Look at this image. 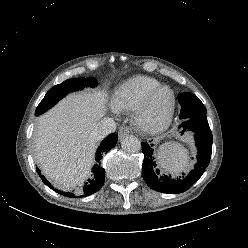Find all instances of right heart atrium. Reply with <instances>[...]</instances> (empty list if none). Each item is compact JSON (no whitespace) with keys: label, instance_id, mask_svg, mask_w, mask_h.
Returning <instances> with one entry per match:
<instances>
[{"label":"right heart atrium","instance_id":"d8ad5b80","mask_svg":"<svg viewBox=\"0 0 248 248\" xmlns=\"http://www.w3.org/2000/svg\"><path fill=\"white\" fill-rule=\"evenodd\" d=\"M111 110L114 112V113H119V109L116 107L115 103L112 102L111 103Z\"/></svg>","mask_w":248,"mask_h":248}]
</instances>
